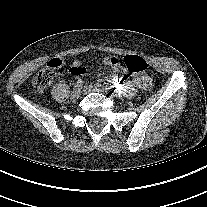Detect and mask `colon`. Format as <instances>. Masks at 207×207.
<instances>
[{
  "label": "colon",
  "instance_id": "1",
  "mask_svg": "<svg viewBox=\"0 0 207 207\" xmlns=\"http://www.w3.org/2000/svg\"><path fill=\"white\" fill-rule=\"evenodd\" d=\"M126 68L132 73H141L147 69V62L138 55H128L124 58ZM61 59L52 60L47 67L41 69L32 79V85L38 93H43L53 82L56 69L62 67Z\"/></svg>",
  "mask_w": 207,
  "mask_h": 207
}]
</instances>
